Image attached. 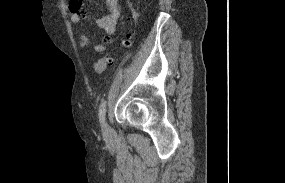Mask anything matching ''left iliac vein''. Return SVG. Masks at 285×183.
Returning <instances> with one entry per match:
<instances>
[{
	"instance_id": "1",
	"label": "left iliac vein",
	"mask_w": 285,
	"mask_h": 183,
	"mask_svg": "<svg viewBox=\"0 0 285 183\" xmlns=\"http://www.w3.org/2000/svg\"><path fill=\"white\" fill-rule=\"evenodd\" d=\"M102 133H103V136L106 138L111 136L112 134V130L107 122H104L102 125Z\"/></svg>"
}]
</instances>
